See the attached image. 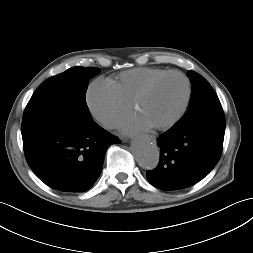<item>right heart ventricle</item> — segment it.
<instances>
[{
	"instance_id": "e07e8e85",
	"label": "right heart ventricle",
	"mask_w": 253,
	"mask_h": 253,
	"mask_svg": "<svg viewBox=\"0 0 253 253\" xmlns=\"http://www.w3.org/2000/svg\"><path fill=\"white\" fill-rule=\"evenodd\" d=\"M168 70L154 67H137L120 73L111 84L121 98L130 104L134 96L153 78Z\"/></svg>"
}]
</instances>
